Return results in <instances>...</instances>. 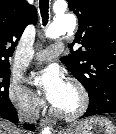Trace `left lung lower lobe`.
Segmentation results:
<instances>
[{
  "mask_svg": "<svg viewBox=\"0 0 116 134\" xmlns=\"http://www.w3.org/2000/svg\"><path fill=\"white\" fill-rule=\"evenodd\" d=\"M104 113H116V101H99L89 103L85 116H93Z\"/></svg>",
  "mask_w": 116,
  "mask_h": 134,
  "instance_id": "obj_1",
  "label": "left lung lower lobe"
}]
</instances>
